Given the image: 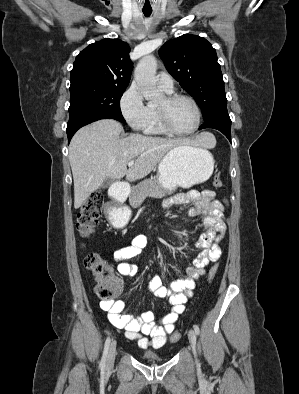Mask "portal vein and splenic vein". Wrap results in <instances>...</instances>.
I'll list each match as a JSON object with an SVG mask.
<instances>
[{"label": "portal vein and splenic vein", "instance_id": "portal-vein-and-splenic-vein-1", "mask_svg": "<svg viewBox=\"0 0 299 394\" xmlns=\"http://www.w3.org/2000/svg\"><path fill=\"white\" fill-rule=\"evenodd\" d=\"M133 165H134V160H131V161L128 162V166H129V167H131V166H133Z\"/></svg>", "mask_w": 299, "mask_h": 394}]
</instances>
